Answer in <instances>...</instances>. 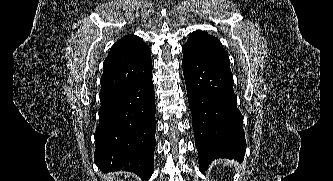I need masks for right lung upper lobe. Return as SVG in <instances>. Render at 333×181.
<instances>
[{
    "label": "right lung upper lobe",
    "instance_id": "obj_1",
    "mask_svg": "<svg viewBox=\"0 0 333 181\" xmlns=\"http://www.w3.org/2000/svg\"><path fill=\"white\" fill-rule=\"evenodd\" d=\"M151 73L149 47L138 36H125L112 46L104 61L100 100L142 81Z\"/></svg>",
    "mask_w": 333,
    "mask_h": 181
}]
</instances>
